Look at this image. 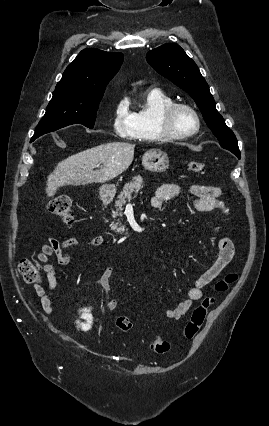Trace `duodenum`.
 I'll use <instances>...</instances> for the list:
<instances>
[{
  "label": "duodenum",
  "mask_w": 269,
  "mask_h": 426,
  "mask_svg": "<svg viewBox=\"0 0 269 426\" xmlns=\"http://www.w3.org/2000/svg\"><path fill=\"white\" fill-rule=\"evenodd\" d=\"M110 196L108 195V193L107 192H105V191H101L100 193H99V201L102 203V204H106V203H108L109 201H110Z\"/></svg>",
  "instance_id": "obj_1"
}]
</instances>
